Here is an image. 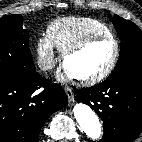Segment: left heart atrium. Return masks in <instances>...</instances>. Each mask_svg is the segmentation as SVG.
<instances>
[{
	"mask_svg": "<svg viewBox=\"0 0 142 142\" xmlns=\"http://www.w3.org/2000/svg\"><path fill=\"white\" fill-rule=\"evenodd\" d=\"M63 77H73V75L68 70H66V68H64Z\"/></svg>",
	"mask_w": 142,
	"mask_h": 142,
	"instance_id": "left-heart-atrium-1",
	"label": "left heart atrium"
}]
</instances>
